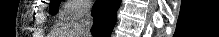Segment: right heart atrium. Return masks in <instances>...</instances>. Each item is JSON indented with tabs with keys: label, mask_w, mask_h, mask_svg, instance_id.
I'll return each mask as SVG.
<instances>
[{
	"label": "right heart atrium",
	"mask_w": 219,
	"mask_h": 37,
	"mask_svg": "<svg viewBox=\"0 0 219 37\" xmlns=\"http://www.w3.org/2000/svg\"><path fill=\"white\" fill-rule=\"evenodd\" d=\"M90 7V2L86 0H67L64 3L61 16L67 20H77L84 16Z\"/></svg>",
	"instance_id": "obj_1"
}]
</instances>
